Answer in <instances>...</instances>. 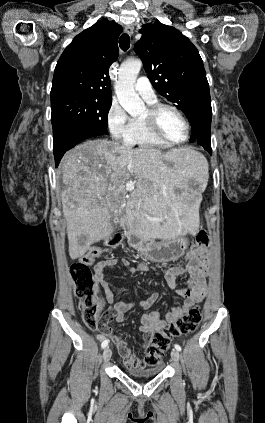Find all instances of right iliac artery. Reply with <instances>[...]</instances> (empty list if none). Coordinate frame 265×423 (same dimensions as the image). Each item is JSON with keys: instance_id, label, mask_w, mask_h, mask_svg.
Listing matches in <instances>:
<instances>
[{"instance_id": "1", "label": "right iliac artery", "mask_w": 265, "mask_h": 423, "mask_svg": "<svg viewBox=\"0 0 265 423\" xmlns=\"http://www.w3.org/2000/svg\"><path fill=\"white\" fill-rule=\"evenodd\" d=\"M109 341L107 339L103 340L101 343V348L104 349L106 346H108Z\"/></svg>"}]
</instances>
